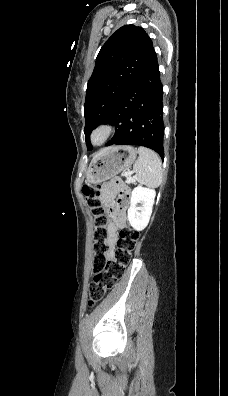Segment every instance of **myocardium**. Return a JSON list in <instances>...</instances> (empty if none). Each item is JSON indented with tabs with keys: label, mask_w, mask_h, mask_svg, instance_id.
<instances>
[{
	"label": "myocardium",
	"mask_w": 228,
	"mask_h": 396,
	"mask_svg": "<svg viewBox=\"0 0 228 396\" xmlns=\"http://www.w3.org/2000/svg\"><path fill=\"white\" fill-rule=\"evenodd\" d=\"M114 127L108 122H101L95 126L90 134V142L93 146L104 145L113 135Z\"/></svg>",
	"instance_id": "f54148a6"
}]
</instances>
